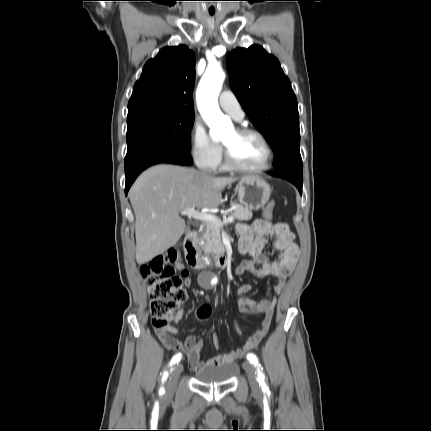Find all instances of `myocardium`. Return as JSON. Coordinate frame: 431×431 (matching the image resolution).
Segmentation results:
<instances>
[{
	"label": "myocardium",
	"mask_w": 431,
	"mask_h": 431,
	"mask_svg": "<svg viewBox=\"0 0 431 431\" xmlns=\"http://www.w3.org/2000/svg\"><path fill=\"white\" fill-rule=\"evenodd\" d=\"M235 130L238 134H241V135L250 134V135L256 136L264 145L266 149L267 157H266L265 163L259 167H255V168L244 167L238 164L233 159L229 149L224 145V157H225L226 166L231 170L241 172V173H260L268 170L272 166L273 159H274V152L265 135L259 130L251 127L242 126V127H237Z\"/></svg>",
	"instance_id": "f54148a6"
}]
</instances>
